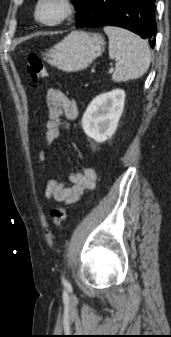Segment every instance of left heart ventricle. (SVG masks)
Listing matches in <instances>:
<instances>
[{
	"label": "left heart ventricle",
	"instance_id": "obj_1",
	"mask_svg": "<svg viewBox=\"0 0 171 337\" xmlns=\"http://www.w3.org/2000/svg\"><path fill=\"white\" fill-rule=\"evenodd\" d=\"M61 13V8L54 2L44 4L39 12V16L45 20H53Z\"/></svg>",
	"mask_w": 171,
	"mask_h": 337
}]
</instances>
